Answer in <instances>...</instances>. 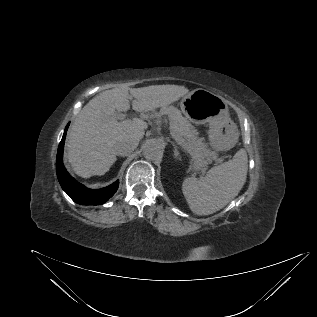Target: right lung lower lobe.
Returning a JSON list of instances; mask_svg holds the SVG:
<instances>
[{"instance_id": "98d812e1", "label": "right lung lower lobe", "mask_w": 317, "mask_h": 317, "mask_svg": "<svg viewBox=\"0 0 317 317\" xmlns=\"http://www.w3.org/2000/svg\"><path fill=\"white\" fill-rule=\"evenodd\" d=\"M68 125L65 128L62 140L58 147L57 159H56V171L57 177L63 190L70 196V198L81 205H100L105 203L111 198L118 189L119 181L117 180L110 186L102 189L90 190L84 185L77 182L73 177L69 175L66 168L63 165L62 157L64 150V142Z\"/></svg>"}]
</instances>
